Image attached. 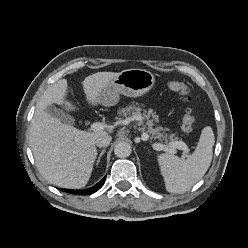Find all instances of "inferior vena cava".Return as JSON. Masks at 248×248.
<instances>
[{"label":"inferior vena cava","mask_w":248,"mask_h":248,"mask_svg":"<svg viewBox=\"0 0 248 248\" xmlns=\"http://www.w3.org/2000/svg\"><path fill=\"white\" fill-rule=\"evenodd\" d=\"M111 140L112 137L109 134L104 133L96 137L95 145L97 147H107L110 144Z\"/></svg>","instance_id":"obj_1"}]
</instances>
